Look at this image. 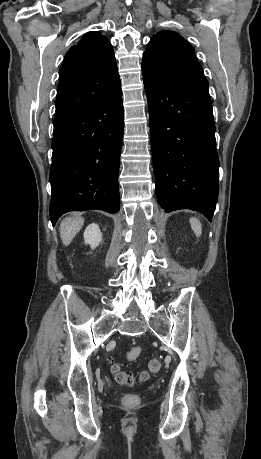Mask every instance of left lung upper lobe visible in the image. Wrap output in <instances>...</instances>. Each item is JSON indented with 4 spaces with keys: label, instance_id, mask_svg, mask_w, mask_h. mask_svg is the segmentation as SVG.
Listing matches in <instances>:
<instances>
[{
    "label": "left lung upper lobe",
    "instance_id": "1",
    "mask_svg": "<svg viewBox=\"0 0 261 459\" xmlns=\"http://www.w3.org/2000/svg\"><path fill=\"white\" fill-rule=\"evenodd\" d=\"M142 69L176 84L208 86L193 47L173 31L153 35L143 55Z\"/></svg>",
    "mask_w": 261,
    "mask_h": 459
}]
</instances>
